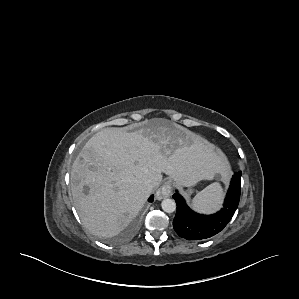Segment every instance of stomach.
Returning <instances> with one entry per match:
<instances>
[{
  "label": "stomach",
  "instance_id": "0dacf381",
  "mask_svg": "<svg viewBox=\"0 0 299 299\" xmlns=\"http://www.w3.org/2000/svg\"><path fill=\"white\" fill-rule=\"evenodd\" d=\"M192 189L191 188H189L188 190H187V195L189 196V195H191L192 194Z\"/></svg>",
  "mask_w": 299,
  "mask_h": 299
}]
</instances>
